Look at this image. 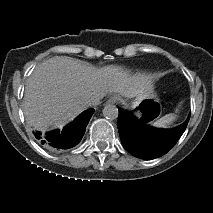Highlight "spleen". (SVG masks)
<instances>
[{
	"label": "spleen",
	"instance_id": "obj_1",
	"mask_svg": "<svg viewBox=\"0 0 213 213\" xmlns=\"http://www.w3.org/2000/svg\"><path fill=\"white\" fill-rule=\"evenodd\" d=\"M176 119L177 115L175 113H169L156 120L155 124L158 127H167L173 124V122H175Z\"/></svg>",
	"mask_w": 213,
	"mask_h": 213
}]
</instances>
